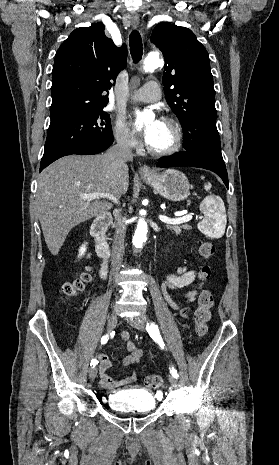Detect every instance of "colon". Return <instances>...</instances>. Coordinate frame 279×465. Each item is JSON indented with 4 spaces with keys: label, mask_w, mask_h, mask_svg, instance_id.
Listing matches in <instances>:
<instances>
[{
    "label": "colon",
    "mask_w": 279,
    "mask_h": 465,
    "mask_svg": "<svg viewBox=\"0 0 279 465\" xmlns=\"http://www.w3.org/2000/svg\"><path fill=\"white\" fill-rule=\"evenodd\" d=\"M199 254L208 259L212 257L215 253V247L212 242L208 240H202L199 244ZM211 274L210 267L204 265L199 271V281H206ZM91 276L88 268L77 273L76 277L72 280L66 281L61 286V293L65 297H76L81 293L88 282L90 281ZM213 295L209 290L202 289L198 295V306L194 312L195 320V333L198 337H204L207 334L208 326L207 322L210 319V309L213 306ZM164 384V379L160 375H150L146 378V385L149 388L157 389Z\"/></svg>",
    "instance_id": "5ec220e1"
}]
</instances>
